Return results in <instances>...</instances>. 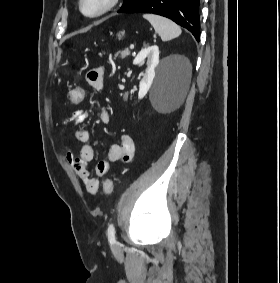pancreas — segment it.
I'll list each match as a JSON object with an SVG mask.
<instances>
[{
    "mask_svg": "<svg viewBox=\"0 0 280 283\" xmlns=\"http://www.w3.org/2000/svg\"><path fill=\"white\" fill-rule=\"evenodd\" d=\"M120 55V57L122 59L128 57L130 55V51L128 49H125V50H122V51H118L116 54H115V57L114 59H116L118 56Z\"/></svg>",
    "mask_w": 280,
    "mask_h": 283,
    "instance_id": "1",
    "label": "pancreas"
}]
</instances>
